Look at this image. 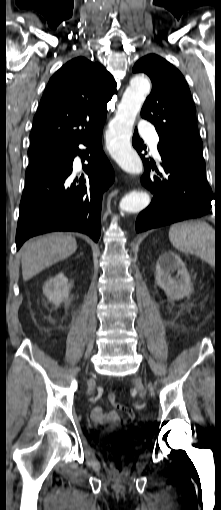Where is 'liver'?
I'll use <instances>...</instances> for the list:
<instances>
[{"label": "liver", "mask_w": 221, "mask_h": 510, "mask_svg": "<svg viewBox=\"0 0 221 510\" xmlns=\"http://www.w3.org/2000/svg\"><path fill=\"white\" fill-rule=\"evenodd\" d=\"M76 239L64 233H52L26 242L20 250L22 277L28 281L42 270L72 255Z\"/></svg>", "instance_id": "6515ba94"}]
</instances>
